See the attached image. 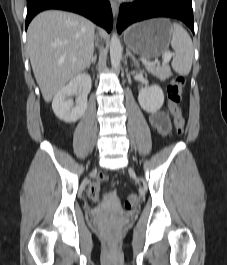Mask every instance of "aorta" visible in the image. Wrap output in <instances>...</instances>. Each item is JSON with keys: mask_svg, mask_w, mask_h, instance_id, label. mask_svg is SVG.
<instances>
[{"mask_svg": "<svg viewBox=\"0 0 227 265\" xmlns=\"http://www.w3.org/2000/svg\"><path fill=\"white\" fill-rule=\"evenodd\" d=\"M122 46L116 33H113L110 41V60L112 68L116 69L121 60Z\"/></svg>", "mask_w": 227, "mask_h": 265, "instance_id": "obj_1", "label": "aorta"}]
</instances>
